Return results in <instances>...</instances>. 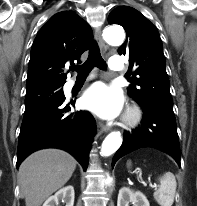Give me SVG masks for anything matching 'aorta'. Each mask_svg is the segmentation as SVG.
<instances>
[{
    "label": "aorta",
    "instance_id": "762f6f07",
    "mask_svg": "<svg viewBox=\"0 0 197 206\" xmlns=\"http://www.w3.org/2000/svg\"><path fill=\"white\" fill-rule=\"evenodd\" d=\"M103 37L110 45H121L124 41L125 34L121 27H108L104 30ZM122 144V137L119 132L110 133L103 141L101 155L109 156L116 152ZM109 182V179H108Z\"/></svg>",
    "mask_w": 197,
    "mask_h": 206
}]
</instances>
